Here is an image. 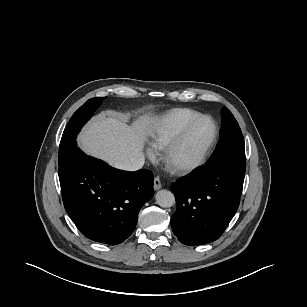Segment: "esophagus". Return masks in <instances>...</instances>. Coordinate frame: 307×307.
I'll return each instance as SVG.
<instances>
[{
	"label": "esophagus",
	"mask_w": 307,
	"mask_h": 307,
	"mask_svg": "<svg viewBox=\"0 0 307 307\" xmlns=\"http://www.w3.org/2000/svg\"><path fill=\"white\" fill-rule=\"evenodd\" d=\"M161 187H162V185H161L160 178L158 176H156L154 178V189L159 190Z\"/></svg>",
	"instance_id": "obj_1"
}]
</instances>
